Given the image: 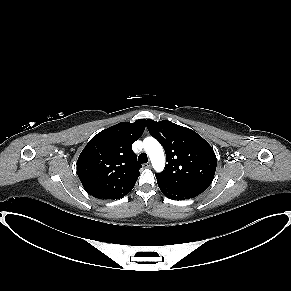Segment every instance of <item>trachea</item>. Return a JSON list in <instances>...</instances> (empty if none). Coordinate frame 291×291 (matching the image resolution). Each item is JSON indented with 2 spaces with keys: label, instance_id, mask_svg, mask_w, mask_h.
<instances>
[{
  "label": "trachea",
  "instance_id": "1",
  "mask_svg": "<svg viewBox=\"0 0 291 291\" xmlns=\"http://www.w3.org/2000/svg\"><path fill=\"white\" fill-rule=\"evenodd\" d=\"M138 162L139 163H147L148 162V157L145 153H141L138 157Z\"/></svg>",
  "mask_w": 291,
  "mask_h": 291
}]
</instances>
